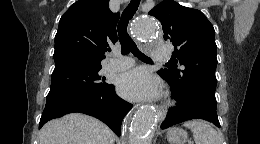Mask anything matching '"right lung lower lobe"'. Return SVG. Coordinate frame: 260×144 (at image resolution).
I'll return each mask as SVG.
<instances>
[{
  "instance_id": "right-lung-lower-lobe-1",
  "label": "right lung lower lobe",
  "mask_w": 260,
  "mask_h": 144,
  "mask_svg": "<svg viewBox=\"0 0 260 144\" xmlns=\"http://www.w3.org/2000/svg\"><path fill=\"white\" fill-rule=\"evenodd\" d=\"M131 108L132 104L117 96L114 85L96 93L70 92L50 95L46 98L39 128L51 119L80 112L101 120L120 136L122 120Z\"/></svg>"
}]
</instances>
